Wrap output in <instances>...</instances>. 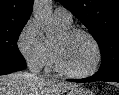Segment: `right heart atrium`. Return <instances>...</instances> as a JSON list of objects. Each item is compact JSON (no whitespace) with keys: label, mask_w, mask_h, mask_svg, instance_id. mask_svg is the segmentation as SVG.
<instances>
[{"label":"right heart atrium","mask_w":119,"mask_h":95,"mask_svg":"<svg viewBox=\"0 0 119 95\" xmlns=\"http://www.w3.org/2000/svg\"><path fill=\"white\" fill-rule=\"evenodd\" d=\"M17 45L32 70L38 71L46 66L50 56V44L34 19L28 20L22 28Z\"/></svg>","instance_id":"obj_1"}]
</instances>
